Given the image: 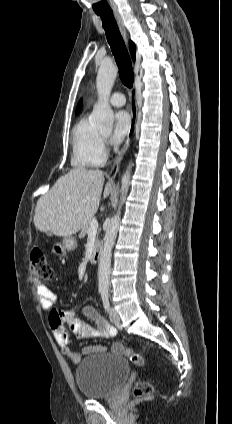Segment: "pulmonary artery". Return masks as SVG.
<instances>
[{"mask_svg": "<svg viewBox=\"0 0 232 424\" xmlns=\"http://www.w3.org/2000/svg\"><path fill=\"white\" fill-rule=\"evenodd\" d=\"M110 103L115 107H122L126 103V98L123 93L116 92L111 96Z\"/></svg>", "mask_w": 232, "mask_h": 424, "instance_id": "pulmonary-artery-1", "label": "pulmonary artery"}]
</instances>
